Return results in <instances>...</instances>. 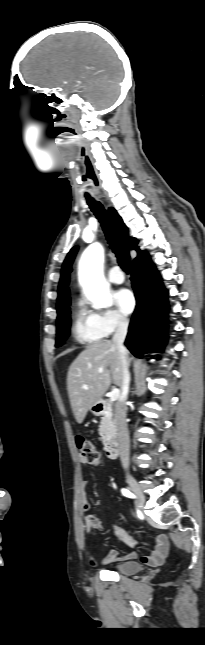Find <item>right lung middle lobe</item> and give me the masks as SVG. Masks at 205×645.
I'll return each instance as SVG.
<instances>
[{"label": "right lung middle lobe", "mask_w": 205, "mask_h": 645, "mask_svg": "<svg viewBox=\"0 0 205 645\" xmlns=\"http://www.w3.org/2000/svg\"><path fill=\"white\" fill-rule=\"evenodd\" d=\"M70 324V310L69 307H67L57 317L56 346L63 344L65 338L69 335Z\"/></svg>", "instance_id": "dd1d6c3e"}]
</instances>
